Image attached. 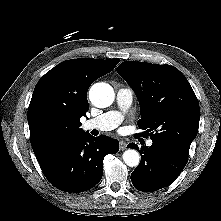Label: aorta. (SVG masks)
<instances>
[{
	"instance_id": "762f6f07",
	"label": "aorta",
	"mask_w": 221,
	"mask_h": 221,
	"mask_svg": "<svg viewBox=\"0 0 221 221\" xmlns=\"http://www.w3.org/2000/svg\"><path fill=\"white\" fill-rule=\"evenodd\" d=\"M91 103L99 108L110 106L114 101L113 88L107 83H96L89 91ZM123 161L129 167H136L140 162V155L134 149H128L123 153Z\"/></svg>"
}]
</instances>
